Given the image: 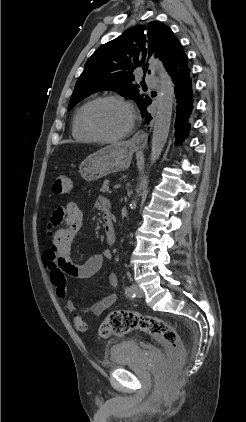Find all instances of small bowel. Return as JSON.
Instances as JSON below:
<instances>
[{
    "label": "small bowel",
    "mask_w": 246,
    "mask_h": 422,
    "mask_svg": "<svg viewBox=\"0 0 246 422\" xmlns=\"http://www.w3.org/2000/svg\"><path fill=\"white\" fill-rule=\"evenodd\" d=\"M96 207L104 211V221L111 219L109 213V204L105 199H100L96 203ZM63 224L62 227L60 225ZM83 225V211L75 203H67L64 206L56 208L48 221L49 234L52 242L49 249L44 255V265L50 273V262L57 259L61 262L66 274L78 277L89 278L98 272L103 263L110 260L112 255L109 250H104L91 258L84 264L76 265L71 257V244L75 236L80 232ZM108 283L111 288L115 289L118 285V279L115 274L108 276ZM117 300V294L111 293L100 296L90 307L89 311L99 316L109 309ZM66 308L72 312L75 307L71 301L66 302Z\"/></svg>",
    "instance_id": "small-bowel-1"
}]
</instances>
